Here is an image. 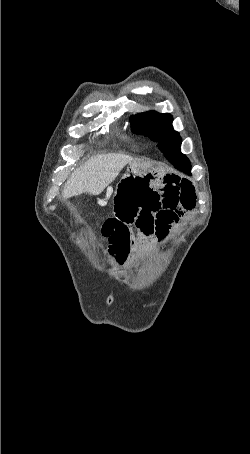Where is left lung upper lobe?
Listing matches in <instances>:
<instances>
[{"mask_svg":"<svg viewBox=\"0 0 250 454\" xmlns=\"http://www.w3.org/2000/svg\"><path fill=\"white\" fill-rule=\"evenodd\" d=\"M172 121L173 118L170 114L156 111L133 115L130 118L132 132L143 134L158 142V148L167 159L182 155L180 152L181 137L173 129Z\"/></svg>","mask_w":250,"mask_h":454,"instance_id":"left-lung-upper-lobe-1","label":"left lung upper lobe"}]
</instances>
